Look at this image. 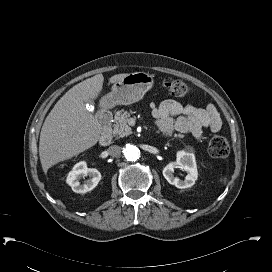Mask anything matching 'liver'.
<instances>
[{
	"label": "liver",
	"instance_id": "6515ba94",
	"mask_svg": "<svg viewBox=\"0 0 272 272\" xmlns=\"http://www.w3.org/2000/svg\"><path fill=\"white\" fill-rule=\"evenodd\" d=\"M128 74H116L110 83ZM104 77L97 74L67 91L46 117L40 133L39 156L44 172L53 165L93 147L100 138L95 117L86 109L103 88Z\"/></svg>",
	"mask_w": 272,
	"mask_h": 272
}]
</instances>
